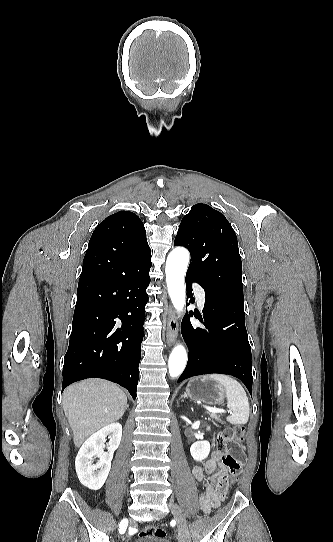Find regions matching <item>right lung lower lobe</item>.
<instances>
[{
    "label": "right lung lower lobe",
    "mask_w": 333,
    "mask_h": 542,
    "mask_svg": "<svg viewBox=\"0 0 333 542\" xmlns=\"http://www.w3.org/2000/svg\"><path fill=\"white\" fill-rule=\"evenodd\" d=\"M150 259L149 246L86 252L82 270L94 275L79 279L62 391L103 378L136 398Z\"/></svg>",
    "instance_id": "right-lung-lower-lobe-1"
}]
</instances>
